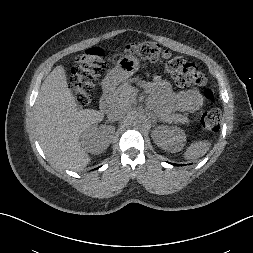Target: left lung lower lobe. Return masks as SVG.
I'll list each match as a JSON object with an SVG mask.
<instances>
[{"label": "left lung lower lobe", "instance_id": "0a47b994", "mask_svg": "<svg viewBox=\"0 0 253 253\" xmlns=\"http://www.w3.org/2000/svg\"><path fill=\"white\" fill-rule=\"evenodd\" d=\"M173 165H175V166H179V164H173Z\"/></svg>", "mask_w": 253, "mask_h": 253}]
</instances>
